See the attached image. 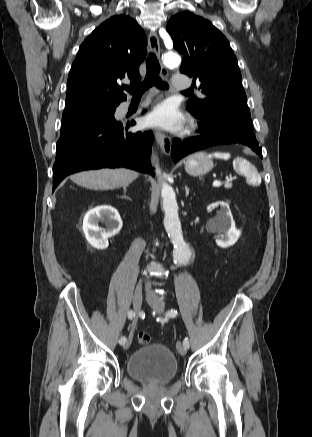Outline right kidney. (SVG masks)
I'll return each instance as SVG.
<instances>
[{"mask_svg":"<svg viewBox=\"0 0 312 437\" xmlns=\"http://www.w3.org/2000/svg\"><path fill=\"white\" fill-rule=\"evenodd\" d=\"M104 222L106 229L102 230L99 222ZM122 220L118 211L109 205L97 206L89 210L83 220V231L88 243L97 249H106L108 238L115 236L122 228Z\"/></svg>","mask_w":312,"mask_h":437,"instance_id":"1","label":"right kidney"}]
</instances>
